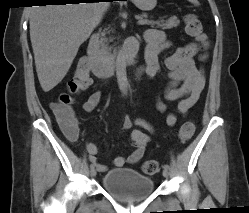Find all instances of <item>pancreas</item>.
I'll use <instances>...</instances> for the list:
<instances>
[{"label":"pancreas","instance_id":"1","mask_svg":"<svg viewBox=\"0 0 249 213\" xmlns=\"http://www.w3.org/2000/svg\"><path fill=\"white\" fill-rule=\"evenodd\" d=\"M142 17L147 18L146 14H143ZM180 21L177 19V17L173 16L169 18L165 23L164 21H156V22H151V25H157L158 27H161L162 29H171L173 27H177L179 25ZM106 33H102V37L100 40V47H101V52L103 53L104 56L106 57H112L111 51L112 48L108 46V41H112V39L108 40L106 38Z\"/></svg>","mask_w":249,"mask_h":213}]
</instances>
